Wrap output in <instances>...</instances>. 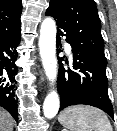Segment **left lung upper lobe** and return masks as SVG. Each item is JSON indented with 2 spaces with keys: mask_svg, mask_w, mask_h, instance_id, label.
Here are the masks:
<instances>
[{
  "mask_svg": "<svg viewBox=\"0 0 117 131\" xmlns=\"http://www.w3.org/2000/svg\"><path fill=\"white\" fill-rule=\"evenodd\" d=\"M46 13L66 29L75 47L106 68L101 22L93 0H50Z\"/></svg>",
  "mask_w": 117,
  "mask_h": 131,
  "instance_id": "left-lung-upper-lobe-1",
  "label": "left lung upper lobe"
}]
</instances>
